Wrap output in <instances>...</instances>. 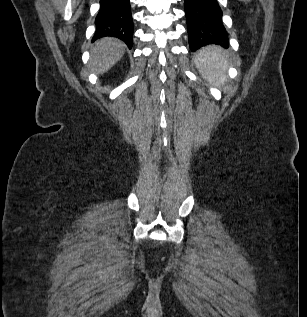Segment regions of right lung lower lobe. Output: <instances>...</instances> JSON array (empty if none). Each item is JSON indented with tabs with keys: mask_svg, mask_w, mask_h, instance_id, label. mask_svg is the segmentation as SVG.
I'll return each instance as SVG.
<instances>
[{
	"mask_svg": "<svg viewBox=\"0 0 307 317\" xmlns=\"http://www.w3.org/2000/svg\"><path fill=\"white\" fill-rule=\"evenodd\" d=\"M95 24L92 41L112 36L123 40L129 48L132 47L133 20L129 0H100Z\"/></svg>",
	"mask_w": 307,
	"mask_h": 317,
	"instance_id": "obj_1",
	"label": "right lung lower lobe"
}]
</instances>
